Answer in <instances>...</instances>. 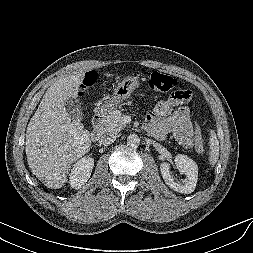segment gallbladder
Wrapping results in <instances>:
<instances>
[{"label":"gallbladder","mask_w":253,"mask_h":253,"mask_svg":"<svg viewBox=\"0 0 253 253\" xmlns=\"http://www.w3.org/2000/svg\"><path fill=\"white\" fill-rule=\"evenodd\" d=\"M65 108L67 112L69 113L72 120L75 121H82L83 119V113L81 105L78 101L73 99H68L65 101Z\"/></svg>","instance_id":"obj_1"}]
</instances>
